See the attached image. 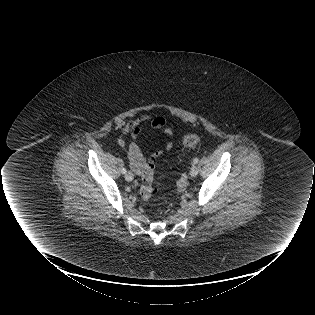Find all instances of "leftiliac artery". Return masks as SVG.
<instances>
[{"label":"left iliac artery","mask_w":315,"mask_h":315,"mask_svg":"<svg viewBox=\"0 0 315 315\" xmlns=\"http://www.w3.org/2000/svg\"><path fill=\"white\" fill-rule=\"evenodd\" d=\"M193 162H194L195 164H197V163L199 162V159H198V158H195V159L193 160Z\"/></svg>","instance_id":"44dca946"}]
</instances>
